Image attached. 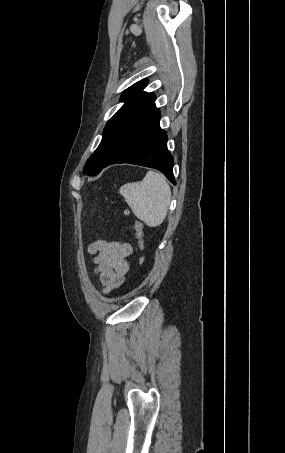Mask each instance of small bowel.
Masks as SVG:
<instances>
[{
    "label": "small bowel",
    "mask_w": 285,
    "mask_h": 453,
    "mask_svg": "<svg viewBox=\"0 0 285 453\" xmlns=\"http://www.w3.org/2000/svg\"><path fill=\"white\" fill-rule=\"evenodd\" d=\"M131 244L97 240L89 246L94 256V272L98 276L104 293L118 288L125 280L129 270L127 258L132 254Z\"/></svg>",
    "instance_id": "c3829d8e"
}]
</instances>
